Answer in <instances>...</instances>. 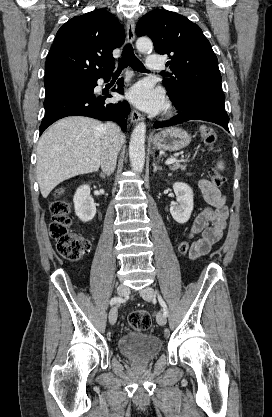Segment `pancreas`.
I'll return each mask as SVG.
<instances>
[{
    "mask_svg": "<svg viewBox=\"0 0 272 417\" xmlns=\"http://www.w3.org/2000/svg\"><path fill=\"white\" fill-rule=\"evenodd\" d=\"M185 168H186V165H185V164H184V165H181V164H179V163H174V164L170 167V169H171L172 171H175V170H178V169L185 170Z\"/></svg>",
    "mask_w": 272,
    "mask_h": 417,
    "instance_id": "pancreas-1",
    "label": "pancreas"
}]
</instances>
